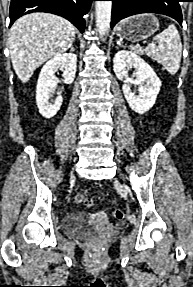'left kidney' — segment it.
Instances as JSON below:
<instances>
[{"label":"left kidney","instance_id":"5707ae66","mask_svg":"<svg viewBox=\"0 0 193 287\" xmlns=\"http://www.w3.org/2000/svg\"><path fill=\"white\" fill-rule=\"evenodd\" d=\"M132 67L135 69V78L128 75ZM113 68L117 78L124 82L123 93L131 109L138 114L149 111L161 87V81L150 65L136 53L121 50L114 56ZM131 84L138 85V95L131 91Z\"/></svg>","mask_w":193,"mask_h":287}]
</instances>
